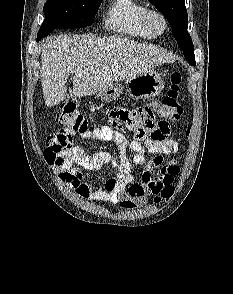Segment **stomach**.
<instances>
[{"instance_id": "0dacf381", "label": "stomach", "mask_w": 233, "mask_h": 294, "mask_svg": "<svg viewBox=\"0 0 233 294\" xmlns=\"http://www.w3.org/2000/svg\"><path fill=\"white\" fill-rule=\"evenodd\" d=\"M126 90L133 99H148L155 97L163 90L162 75L154 70H147L135 77L125 80ZM123 91L121 83H112L99 93L101 99L107 102L116 100Z\"/></svg>"}]
</instances>
